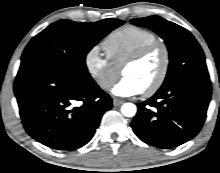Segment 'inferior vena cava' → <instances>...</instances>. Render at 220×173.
I'll return each mask as SVG.
<instances>
[{
  "instance_id": "602c4592",
  "label": "inferior vena cava",
  "mask_w": 220,
  "mask_h": 173,
  "mask_svg": "<svg viewBox=\"0 0 220 173\" xmlns=\"http://www.w3.org/2000/svg\"><path fill=\"white\" fill-rule=\"evenodd\" d=\"M112 87V84H108L107 86H106V88H111Z\"/></svg>"
}]
</instances>
